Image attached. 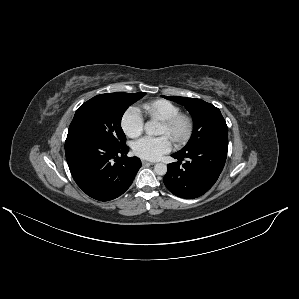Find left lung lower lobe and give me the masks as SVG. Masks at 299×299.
I'll use <instances>...</instances> for the list:
<instances>
[{
	"mask_svg": "<svg viewBox=\"0 0 299 299\" xmlns=\"http://www.w3.org/2000/svg\"><path fill=\"white\" fill-rule=\"evenodd\" d=\"M227 150L228 137H219L185 152L172 154L178 161L167 165L164 184L178 197L193 199L203 195L222 172Z\"/></svg>",
	"mask_w": 299,
	"mask_h": 299,
	"instance_id": "obj_1",
	"label": "left lung lower lobe"
}]
</instances>
